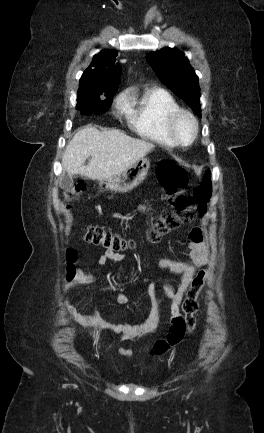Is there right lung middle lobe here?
Here are the masks:
<instances>
[{
  "label": "right lung middle lobe",
  "instance_id": "right-lung-middle-lobe-1",
  "mask_svg": "<svg viewBox=\"0 0 264 433\" xmlns=\"http://www.w3.org/2000/svg\"><path fill=\"white\" fill-rule=\"evenodd\" d=\"M113 95L114 94L105 95L99 98L77 99L76 108L82 115L102 114L110 107Z\"/></svg>",
  "mask_w": 264,
  "mask_h": 433
}]
</instances>
